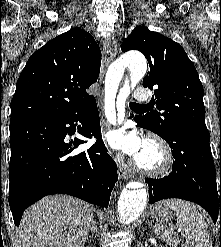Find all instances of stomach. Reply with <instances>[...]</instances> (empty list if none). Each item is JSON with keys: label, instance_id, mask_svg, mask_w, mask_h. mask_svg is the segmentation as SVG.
<instances>
[{"label": "stomach", "instance_id": "0dacf381", "mask_svg": "<svg viewBox=\"0 0 221 247\" xmlns=\"http://www.w3.org/2000/svg\"><path fill=\"white\" fill-rule=\"evenodd\" d=\"M180 202H181L180 200H165V201L159 202L153 208L152 215L157 219L168 220L172 217L173 212H175L171 208V205L180 203Z\"/></svg>", "mask_w": 221, "mask_h": 247}]
</instances>
